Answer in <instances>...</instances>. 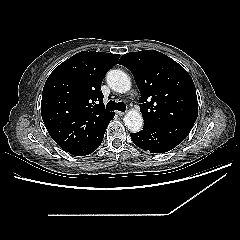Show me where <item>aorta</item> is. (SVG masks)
I'll use <instances>...</instances> for the list:
<instances>
[{
  "instance_id": "762f6f07",
  "label": "aorta",
  "mask_w": 240,
  "mask_h": 240,
  "mask_svg": "<svg viewBox=\"0 0 240 240\" xmlns=\"http://www.w3.org/2000/svg\"><path fill=\"white\" fill-rule=\"evenodd\" d=\"M109 87L118 93H126L131 88L129 76L121 70H110L106 76ZM143 117L138 110H130L124 116L125 126L133 133L139 132L143 126Z\"/></svg>"
}]
</instances>
